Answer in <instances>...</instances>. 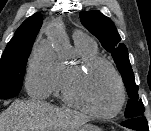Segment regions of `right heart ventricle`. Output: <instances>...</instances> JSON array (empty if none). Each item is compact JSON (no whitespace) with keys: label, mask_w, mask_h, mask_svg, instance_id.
Returning <instances> with one entry per match:
<instances>
[{"label":"right heart ventricle","mask_w":151,"mask_h":131,"mask_svg":"<svg viewBox=\"0 0 151 131\" xmlns=\"http://www.w3.org/2000/svg\"><path fill=\"white\" fill-rule=\"evenodd\" d=\"M75 47L80 60L88 57L97 56L98 49L93 41L75 40ZM76 63L56 62V76L52 93L56 95H64V83L69 72Z\"/></svg>","instance_id":"obj_1"}]
</instances>
